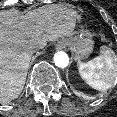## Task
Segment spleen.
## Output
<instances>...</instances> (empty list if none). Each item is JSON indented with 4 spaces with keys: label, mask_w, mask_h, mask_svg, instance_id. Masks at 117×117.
Wrapping results in <instances>:
<instances>
[{
    "label": "spleen",
    "mask_w": 117,
    "mask_h": 117,
    "mask_svg": "<svg viewBox=\"0 0 117 117\" xmlns=\"http://www.w3.org/2000/svg\"><path fill=\"white\" fill-rule=\"evenodd\" d=\"M82 79L92 88L105 91L117 81V55L104 48L100 55L87 62L78 61Z\"/></svg>",
    "instance_id": "spleen-1"
}]
</instances>
